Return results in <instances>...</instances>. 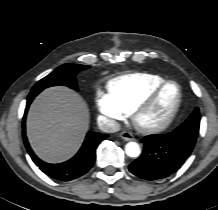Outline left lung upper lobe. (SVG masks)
Segmentation results:
<instances>
[{
  "label": "left lung upper lobe",
  "instance_id": "1",
  "mask_svg": "<svg viewBox=\"0 0 218 210\" xmlns=\"http://www.w3.org/2000/svg\"><path fill=\"white\" fill-rule=\"evenodd\" d=\"M199 124L200 113L199 109L196 108L194 112L190 115V117L182 125H180V128L183 132V135L190 136L195 142L199 132Z\"/></svg>",
  "mask_w": 218,
  "mask_h": 210
}]
</instances>
